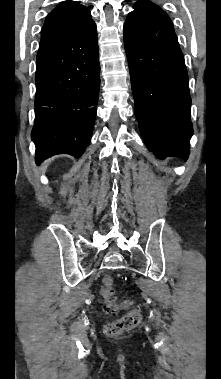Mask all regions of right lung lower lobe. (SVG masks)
Masks as SVG:
<instances>
[{
    "mask_svg": "<svg viewBox=\"0 0 221 379\" xmlns=\"http://www.w3.org/2000/svg\"><path fill=\"white\" fill-rule=\"evenodd\" d=\"M35 160L61 153L79 158L89 145L100 87L97 29L39 50L36 59Z\"/></svg>",
    "mask_w": 221,
    "mask_h": 379,
    "instance_id": "right-lung-lower-lobe-1",
    "label": "right lung lower lobe"
}]
</instances>
